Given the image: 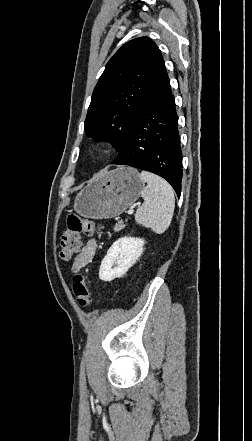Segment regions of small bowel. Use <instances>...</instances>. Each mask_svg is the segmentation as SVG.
Segmentation results:
<instances>
[{
  "label": "small bowel",
  "instance_id": "1",
  "mask_svg": "<svg viewBox=\"0 0 252 441\" xmlns=\"http://www.w3.org/2000/svg\"><path fill=\"white\" fill-rule=\"evenodd\" d=\"M98 243L96 239H89L81 248L72 264V272L77 273L87 266L95 256Z\"/></svg>",
  "mask_w": 252,
  "mask_h": 441
}]
</instances>
